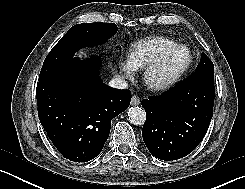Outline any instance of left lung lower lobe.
<instances>
[{
	"mask_svg": "<svg viewBox=\"0 0 245 189\" xmlns=\"http://www.w3.org/2000/svg\"><path fill=\"white\" fill-rule=\"evenodd\" d=\"M214 94V78L194 73L167 92L142 100V137L152 155L168 161L191 153L208 130Z\"/></svg>",
	"mask_w": 245,
	"mask_h": 189,
	"instance_id": "left-lung-lower-lobe-1",
	"label": "left lung lower lobe"
}]
</instances>
